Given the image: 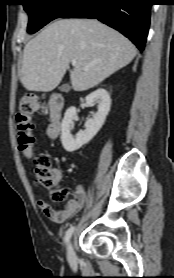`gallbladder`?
Returning <instances> with one entry per match:
<instances>
[{
	"instance_id": "gallbladder-1",
	"label": "gallbladder",
	"mask_w": 174,
	"mask_h": 278,
	"mask_svg": "<svg viewBox=\"0 0 174 278\" xmlns=\"http://www.w3.org/2000/svg\"><path fill=\"white\" fill-rule=\"evenodd\" d=\"M69 89H70V87L67 84L62 85L61 88H60V90L62 92H67V91H69Z\"/></svg>"
}]
</instances>
